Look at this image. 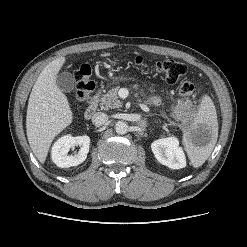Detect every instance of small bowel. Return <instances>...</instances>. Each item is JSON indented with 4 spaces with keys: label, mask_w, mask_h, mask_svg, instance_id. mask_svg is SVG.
Listing matches in <instances>:
<instances>
[{
    "label": "small bowel",
    "mask_w": 247,
    "mask_h": 247,
    "mask_svg": "<svg viewBox=\"0 0 247 247\" xmlns=\"http://www.w3.org/2000/svg\"><path fill=\"white\" fill-rule=\"evenodd\" d=\"M154 102H158V100L157 99H154Z\"/></svg>",
    "instance_id": "c3829d8e"
}]
</instances>
